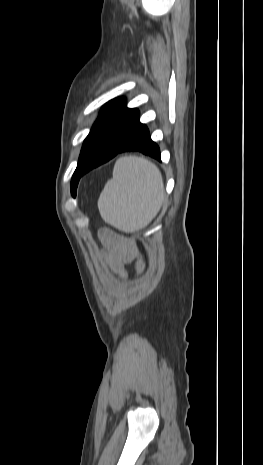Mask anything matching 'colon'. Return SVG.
Wrapping results in <instances>:
<instances>
[{
	"label": "colon",
	"mask_w": 263,
	"mask_h": 465,
	"mask_svg": "<svg viewBox=\"0 0 263 465\" xmlns=\"http://www.w3.org/2000/svg\"><path fill=\"white\" fill-rule=\"evenodd\" d=\"M142 267H143L142 262H141V261H138V263H137V270H138V271H141V270H142Z\"/></svg>",
	"instance_id": "1"
}]
</instances>
